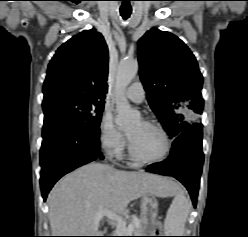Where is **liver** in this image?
Returning <instances> with one entry per match:
<instances>
[{
    "mask_svg": "<svg viewBox=\"0 0 248 237\" xmlns=\"http://www.w3.org/2000/svg\"><path fill=\"white\" fill-rule=\"evenodd\" d=\"M174 182L143 171H121L107 165H84L61 179L48 196L52 236H101L97 213L125 212L128 204L145 194L160 195Z\"/></svg>",
    "mask_w": 248,
    "mask_h": 237,
    "instance_id": "liver-1",
    "label": "liver"
}]
</instances>
